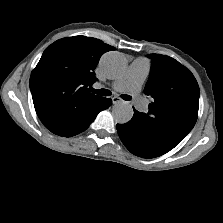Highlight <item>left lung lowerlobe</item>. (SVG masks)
Wrapping results in <instances>:
<instances>
[{"label": "left lung lower lobe", "mask_w": 223, "mask_h": 223, "mask_svg": "<svg viewBox=\"0 0 223 223\" xmlns=\"http://www.w3.org/2000/svg\"><path fill=\"white\" fill-rule=\"evenodd\" d=\"M134 111H136L134 109ZM119 137L127 149L142 158H155L173 149L179 142L153 133L138 121L136 116L126 124H117Z\"/></svg>", "instance_id": "1"}]
</instances>
